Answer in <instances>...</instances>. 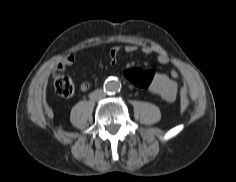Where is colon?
Instances as JSON below:
<instances>
[{
	"mask_svg": "<svg viewBox=\"0 0 236 182\" xmlns=\"http://www.w3.org/2000/svg\"><path fill=\"white\" fill-rule=\"evenodd\" d=\"M124 76L126 80L136 88L147 89L153 81V71L144 70L141 68L133 67L125 70ZM54 84L57 93L61 96L68 97L74 91L72 81L65 75L62 69H58L54 75ZM182 94L185 90L181 88Z\"/></svg>",
	"mask_w": 236,
	"mask_h": 182,
	"instance_id": "5ec220e1",
	"label": "colon"
}]
</instances>
